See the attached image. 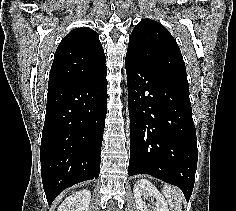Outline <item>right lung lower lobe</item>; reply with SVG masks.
I'll use <instances>...</instances> for the list:
<instances>
[{"label": "right lung lower lobe", "mask_w": 236, "mask_h": 211, "mask_svg": "<svg viewBox=\"0 0 236 211\" xmlns=\"http://www.w3.org/2000/svg\"><path fill=\"white\" fill-rule=\"evenodd\" d=\"M107 70L82 83L49 89L40 148L48 204L64 189L99 177L107 113Z\"/></svg>", "instance_id": "obj_1"}]
</instances>
